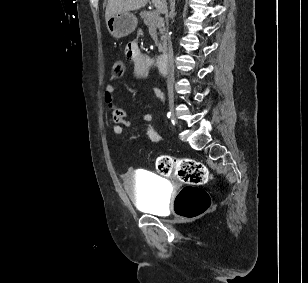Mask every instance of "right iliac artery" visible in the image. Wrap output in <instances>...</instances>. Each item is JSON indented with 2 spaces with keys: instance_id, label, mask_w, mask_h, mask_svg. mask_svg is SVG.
<instances>
[{
  "instance_id": "right-iliac-artery-1",
  "label": "right iliac artery",
  "mask_w": 308,
  "mask_h": 283,
  "mask_svg": "<svg viewBox=\"0 0 308 283\" xmlns=\"http://www.w3.org/2000/svg\"><path fill=\"white\" fill-rule=\"evenodd\" d=\"M167 116H168V118L171 119V121L174 123V121L172 120V117H171V112H168V115H167Z\"/></svg>"
}]
</instances>
